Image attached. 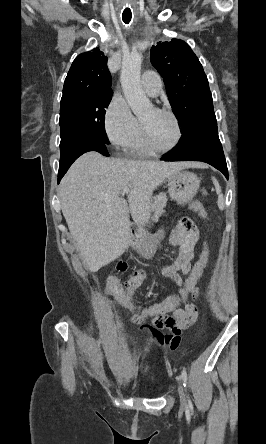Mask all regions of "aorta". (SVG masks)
<instances>
[{"mask_svg": "<svg viewBox=\"0 0 266 444\" xmlns=\"http://www.w3.org/2000/svg\"><path fill=\"white\" fill-rule=\"evenodd\" d=\"M142 58L140 53H131L124 57L120 76L124 96L137 117L144 115L152 108L140 82Z\"/></svg>", "mask_w": 266, "mask_h": 444, "instance_id": "obj_1", "label": "aorta"}]
</instances>
